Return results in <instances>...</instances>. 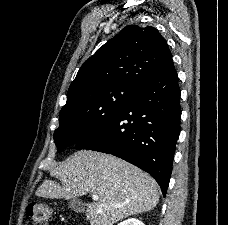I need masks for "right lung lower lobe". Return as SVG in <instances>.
Wrapping results in <instances>:
<instances>
[{"label": "right lung lower lobe", "instance_id": "98d812e1", "mask_svg": "<svg viewBox=\"0 0 228 225\" xmlns=\"http://www.w3.org/2000/svg\"><path fill=\"white\" fill-rule=\"evenodd\" d=\"M180 119V88L171 60L75 148L112 154L132 163L148 172L165 196Z\"/></svg>", "mask_w": 228, "mask_h": 225}]
</instances>
